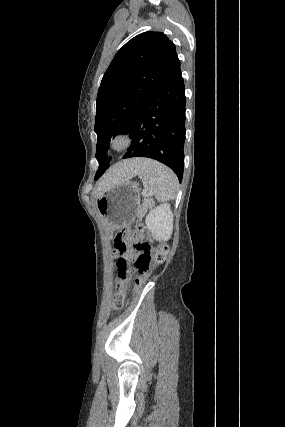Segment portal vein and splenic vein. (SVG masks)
I'll list each match as a JSON object with an SVG mask.
<instances>
[{"label":"portal vein and splenic vein","mask_w":285,"mask_h":427,"mask_svg":"<svg viewBox=\"0 0 285 427\" xmlns=\"http://www.w3.org/2000/svg\"><path fill=\"white\" fill-rule=\"evenodd\" d=\"M142 195H143L144 197H146V196L148 195L147 191H143V192H142Z\"/></svg>","instance_id":"18ae733b"}]
</instances>
